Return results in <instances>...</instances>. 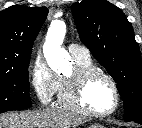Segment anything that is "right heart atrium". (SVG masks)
<instances>
[{
    "instance_id": "1",
    "label": "right heart atrium",
    "mask_w": 142,
    "mask_h": 128,
    "mask_svg": "<svg viewBox=\"0 0 142 128\" xmlns=\"http://www.w3.org/2000/svg\"><path fill=\"white\" fill-rule=\"evenodd\" d=\"M29 79L38 101L42 105H49L58 92L60 78L41 55H36L31 62Z\"/></svg>"
}]
</instances>
